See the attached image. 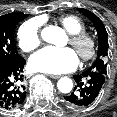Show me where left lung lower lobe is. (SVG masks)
<instances>
[{
    "instance_id": "1",
    "label": "left lung lower lobe",
    "mask_w": 117,
    "mask_h": 117,
    "mask_svg": "<svg viewBox=\"0 0 117 117\" xmlns=\"http://www.w3.org/2000/svg\"><path fill=\"white\" fill-rule=\"evenodd\" d=\"M106 75L87 69L75 75L77 85L74 91L65 98V104L72 107H86L95 102L104 86Z\"/></svg>"
}]
</instances>
